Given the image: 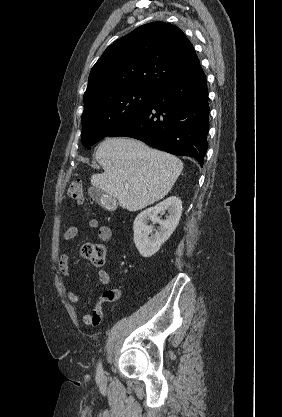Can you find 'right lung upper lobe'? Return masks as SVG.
<instances>
[{"mask_svg":"<svg viewBox=\"0 0 282 417\" xmlns=\"http://www.w3.org/2000/svg\"><path fill=\"white\" fill-rule=\"evenodd\" d=\"M198 67L193 45L178 27L148 23L104 51L90 72L83 99L127 88L157 90Z\"/></svg>","mask_w":282,"mask_h":417,"instance_id":"cb5924a9","label":"right lung upper lobe"}]
</instances>
